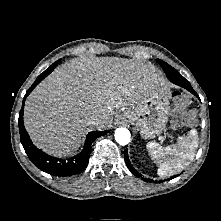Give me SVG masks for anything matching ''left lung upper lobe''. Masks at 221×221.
I'll return each instance as SVG.
<instances>
[{"instance_id": "1", "label": "left lung upper lobe", "mask_w": 221, "mask_h": 221, "mask_svg": "<svg viewBox=\"0 0 221 221\" xmlns=\"http://www.w3.org/2000/svg\"><path fill=\"white\" fill-rule=\"evenodd\" d=\"M157 62L164 69V71L170 81H173L175 79H179L180 77H182L173 67H171L169 64H167L165 61H163L161 59H157Z\"/></svg>"}]
</instances>
